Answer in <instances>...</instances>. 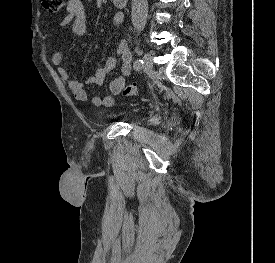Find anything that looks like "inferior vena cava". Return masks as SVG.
Returning a JSON list of instances; mask_svg holds the SVG:
<instances>
[{"instance_id": "inferior-vena-cava-1", "label": "inferior vena cava", "mask_w": 275, "mask_h": 263, "mask_svg": "<svg viewBox=\"0 0 275 263\" xmlns=\"http://www.w3.org/2000/svg\"><path fill=\"white\" fill-rule=\"evenodd\" d=\"M148 12L147 0H132V24L138 30H143Z\"/></svg>"}]
</instances>
